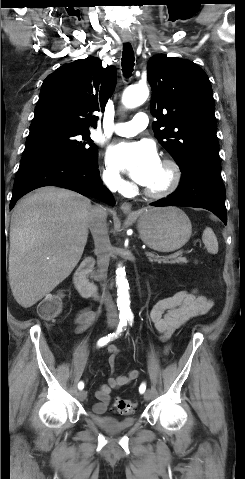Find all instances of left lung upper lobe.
Instances as JSON below:
<instances>
[{"label":"left lung upper lobe","instance_id":"obj_1","mask_svg":"<svg viewBox=\"0 0 245 479\" xmlns=\"http://www.w3.org/2000/svg\"><path fill=\"white\" fill-rule=\"evenodd\" d=\"M152 87L150 108L157 121L155 137L180 169L205 156H218L213 91L206 73L195 63L155 55L147 65Z\"/></svg>","mask_w":245,"mask_h":479}]
</instances>
